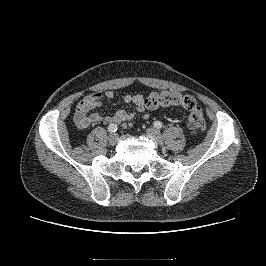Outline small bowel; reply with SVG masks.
Here are the masks:
<instances>
[{
  "label": "small bowel",
  "mask_w": 266,
  "mask_h": 266,
  "mask_svg": "<svg viewBox=\"0 0 266 266\" xmlns=\"http://www.w3.org/2000/svg\"><path fill=\"white\" fill-rule=\"evenodd\" d=\"M114 92L109 90L104 93L94 92L86 95L77 105L74 113V121L79 129H86L92 124H98L102 122L110 123L114 122L122 127H129L131 120L136 114L142 115L143 118L149 117V110L145 105L144 97L141 94L126 95L123 101L126 104L133 105L134 109L131 112L125 110H118L113 115H103L97 112H93L98 108L103 98L113 99Z\"/></svg>",
  "instance_id": "small-bowel-1"
}]
</instances>
